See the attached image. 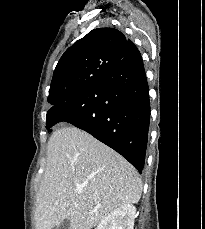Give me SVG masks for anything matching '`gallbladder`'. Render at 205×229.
<instances>
[{"instance_id": "obj_1", "label": "gallbladder", "mask_w": 205, "mask_h": 229, "mask_svg": "<svg viewBox=\"0 0 205 229\" xmlns=\"http://www.w3.org/2000/svg\"><path fill=\"white\" fill-rule=\"evenodd\" d=\"M53 229H70V219L67 218L63 220L59 225L55 226Z\"/></svg>"}]
</instances>
